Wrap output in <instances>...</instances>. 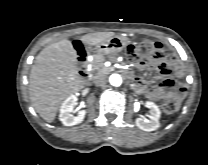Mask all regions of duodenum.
I'll list each match as a JSON object with an SVG mask.
<instances>
[{"label":"duodenum","mask_w":208,"mask_h":165,"mask_svg":"<svg viewBox=\"0 0 208 165\" xmlns=\"http://www.w3.org/2000/svg\"><path fill=\"white\" fill-rule=\"evenodd\" d=\"M89 62V49L82 51L77 58V70L80 78L86 79L88 77L87 65ZM121 72L128 78H131V72L127 69L121 68Z\"/></svg>","instance_id":"obj_1"}]
</instances>
